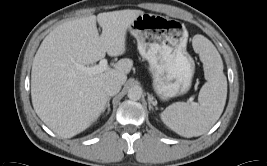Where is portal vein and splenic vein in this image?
<instances>
[{
    "label": "portal vein and splenic vein",
    "mask_w": 267,
    "mask_h": 166,
    "mask_svg": "<svg viewBox=\"0 0 267 166\" xmlns=\"http://www.w3.org/2000/svg\"><path fill=\"white\" fill-rule=\"evenodd\" d=\"M78 69H80L81 71L91 75V74H97V73H102L106 70L109 69L108 67V62L106 59H102L99 64L94 65L92 67H86L84 65H78ZM193 99H190V102H192Z\"/></svg>",
    "instance_id": "18ae733b"
}]
</instances>
